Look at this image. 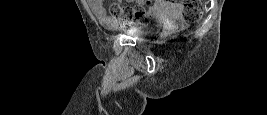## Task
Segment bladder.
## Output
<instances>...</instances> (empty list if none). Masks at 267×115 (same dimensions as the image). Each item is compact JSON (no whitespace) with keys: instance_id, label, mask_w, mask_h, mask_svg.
Masks as SVG:
<instances>
[{"instance_id":"31cf9c89","label":"bladder","mask_w":267,"mask_h":115,"mask_svg":"<svg viewBox=\"0 0 267 115\" xmlns=\"http://www.w3.org/2000/svg\"><path fill=\"white\" fill-rule=\"evenodd\" d=\"M129 35L136 38H147L151 35V30L145 27H136L130 30Z\"/></svg>"}]
</instances>
